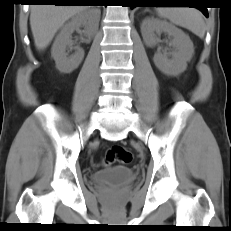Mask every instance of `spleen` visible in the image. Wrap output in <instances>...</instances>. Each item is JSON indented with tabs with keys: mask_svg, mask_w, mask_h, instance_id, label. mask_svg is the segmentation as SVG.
<instances>
[{
	"mask_svg": "<svg viewBox=\"0 0 231 231\" xmlns=\"http://www.w3.org/2000/svg\"><path fill=\"white\" fill-rule=\"evenodd\" d=\"M158 15L169 19L171 23L186 28L195 35L203 38L205 35V23L200 11L189 7H159Z\"/></svg>",
	"mask_w": 231,
	"mask_h": 231,
	"instance_id": "1",
	"label": "spleen"
}]
</instances>
